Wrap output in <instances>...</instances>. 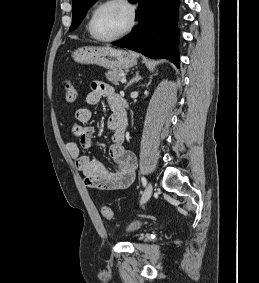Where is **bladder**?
I'll list each match as a JSON object with an SVG mask.
<instances>
[{
	"mask_svg": "<svg viewBox=\"0 0 259 283\" xmlns=\"http://www.w3.org/2000/svg\"><path fill=\"white\" fill-rule=\"evenodd\" d=\"M142 225H143V223L141 221H133V222H131L130 224L127 225L125 231L127 233H134L139 228H141Z\"/></svg>",
	"mask_w": 259,
	"mask_h": 283,
	"instance_id": "bladder-1",
	"label": "bladder"
}]
</instances>
